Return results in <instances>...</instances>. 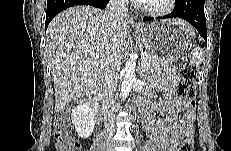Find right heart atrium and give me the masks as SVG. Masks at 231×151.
Wrapping results in <instances>:
<instances>
[{"mask_svg":"<svg viewBox=\"0 0 231 151\" xmlns=\"http://www.w3.org/2000/svg\"><path fill=\"white\" fill-rule=\"evenodd\" d=\"M117 3H118L119 5H123V4H124V1L118 0Z\"/></svg>","mask_w":231,"mask_h":151,"instance_id":"obj_1","label":"right heart atrium"}]
</instances>
